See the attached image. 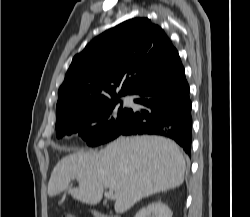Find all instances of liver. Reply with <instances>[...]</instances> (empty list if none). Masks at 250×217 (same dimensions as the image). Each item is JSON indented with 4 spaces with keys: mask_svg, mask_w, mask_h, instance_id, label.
Returning a JSON list of instances; mask_svg holds the SVG:
<instances>
[{
    "mask_svg": "<svg viewBox=\"0 0 250 217\" xmlns=\"http://www.w3.org/2000/svg\"><path fill=\"white\" fill-rule=\"evenodd\" d=\"M186 163L179 147L158 136H121L104 149L76 151L54 167L47 193L54 197L67 190L88 205L98 204L105 188L115 195L116 213L127 212L145 197L180 186ZM79 186L72 188L71 180Z\"/></svg>",
    "mask_w": 250,
    "mask_h": 217,
    "instance_id": "liver-1",
    "label": "liver"
}]
</instances>
